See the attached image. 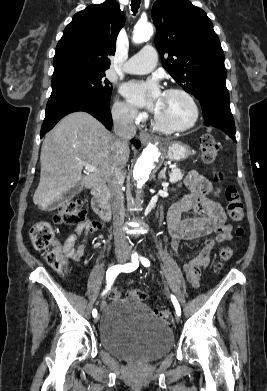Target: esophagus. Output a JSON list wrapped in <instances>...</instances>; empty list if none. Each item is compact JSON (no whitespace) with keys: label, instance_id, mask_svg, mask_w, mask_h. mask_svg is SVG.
Wrapping results in <instances>:
<instances>
[{"label":"esophagus","instance_id":"esophagus-1","mask_svg":"<svg viewBox=\"0 0 267 391\" xmlns=\"http://www.w3.org/2000/svg\"><path fill=\"white\" fill-rule=\"evenodd\" d=\"M139 138L142 144H146L150 140V135L146 132H141Z\"/></svg>","mask_w":267,"mask_h":391}]
</instances>
